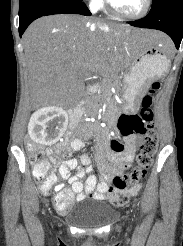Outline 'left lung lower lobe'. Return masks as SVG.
I'll return each instance as SVG.
<instances>
[{
    "mask_svg": "<svg viewBox=\"0 0 183 246\" xmlns=\"http://www.w3.org/2000/svg\"><path fill=\"white\" fill-rule=\"evenodd\" d=\"M128 23L167 33L178 49L183 37V0H156L146 17Z\"/></svg>",
    "mask_w": 183,
    "mask_h": 246,
    "instance_id": "left-lung-lower-lobe-1",
    "label": "left lung lower lobe"
}]
</instances>
